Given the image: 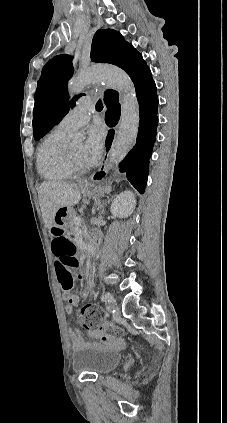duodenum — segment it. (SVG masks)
<instances>
[{
  "label": "duodenum",
  "mask_w": 227,
  "mask_h": 423,
  "mask_svg": "<svg viewBox=\"0 0 227 423\" xmlns=\"http://www.w3.org/2000/svg\"><path fill=\"white\" fill-rule=\"evenodd\" d=\"M82 249L84 251V256L90 257L95 252V250L97 249V245L96 244H93V245H91L89 247H84L83 246Z\"/></svg>",
  "instance_id": "1"
}]
</instances>
